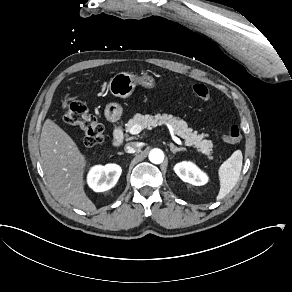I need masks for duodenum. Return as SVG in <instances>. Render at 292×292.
I'll use <instances>...</instances> for the list:
<instances>
[{
    "instance_id": "duodenum-1",
    "label": "duodenum",
    "mask_w": 292,
    "mask_h": 292,
    "mask_svg": "<svg viewBox=\"0 0 292 292\" xmlns=\"http://www.w3.org/2000/svg\"><path fill=\"white\" fill-rule=\"evenodd\" d=\"M124 141V130L122 125H118L112 135V143L114 146L118 147L120 146Z\"/></svg>"
}]
</instances>
